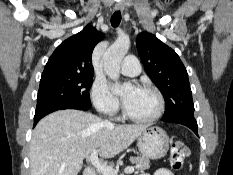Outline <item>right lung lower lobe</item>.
Segmentation results:
<instances>
[{"label":"right lung lower lobe","instance_id":"1","mask_svg":"<svg viewBox=\"0 0 233 175\" xmlns=\"http://www.w3.org/2000/svg\"><path fill=\"white\" fill-rule=\"evenodd\" d=\"M63 109H78V110H88L90 107H84V106H74V105H59V106H51L48 108H45L41 111L35 112L34 116V126L37 124V122L46 116L47 114L57 111V110H63Z\"/></svg>","mask_w":233,"mask_h":175}]
</instances>
